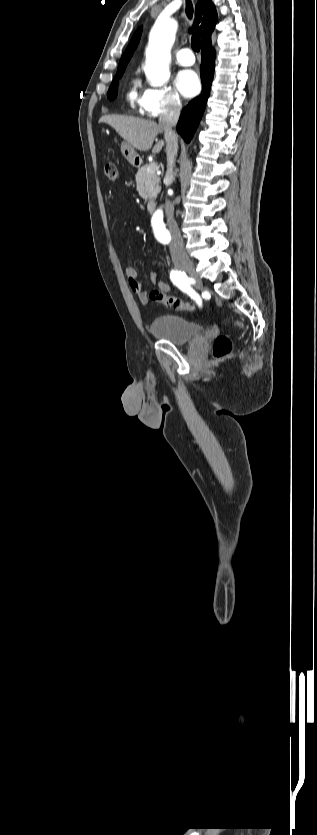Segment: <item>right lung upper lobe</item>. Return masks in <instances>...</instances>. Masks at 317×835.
Instances as JSON below:
<instances>
[{
	"mask_svg": "<svg viewBox=\"0 0 317 835\" xmlns=\"http://www.w3.org/2000/svg\"><path fill=\"white\" fill-rule=\"evenodd\" d=\"M218 20V15L216 12V8L211 0H199L196 4L195 10V21L194 25L191 28V32H195L199 34L202 42H205L211 39V35L214 31L215 25ZM142 32V27H140L133 35L127 49L125 50L124 54L122 55L119 66H126L129 62L131 56L133 55Z\"/></svg>",
	"mask_w": 317,
	"mask_h": 835,
	"instance_id": "obj_1",
	"label": "right lung upper lobe"
}]
</instances>
